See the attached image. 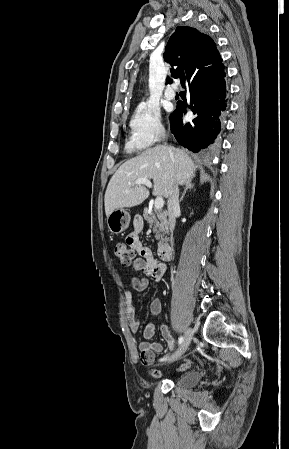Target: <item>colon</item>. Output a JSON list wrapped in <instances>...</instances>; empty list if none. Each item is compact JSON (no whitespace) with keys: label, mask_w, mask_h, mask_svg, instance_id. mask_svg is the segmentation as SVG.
I'll use <instances>...</instances> for the list:
<instances>
[{"label":"colon","mask_w":289,"mask_h":449,"mask_svg":"<svg viewBox=\"0 0 289 449\" xmlns=\"http://www.w3.org/2000/svg\"><path fill=\"white\" fill-rule=\"evenodd\" d=\"M114 254L123 265H130L135 259V251L127 243H117L114 248Z\"/></svg>","instance_id":"1"}]
</instances>
